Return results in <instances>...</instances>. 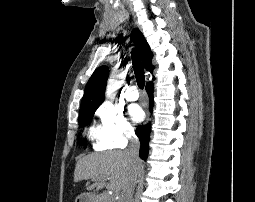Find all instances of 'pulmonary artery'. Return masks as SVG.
I'll use <instances>...</instances> for the list:
<instances>
[{
    "label": "pulmonary artery",
    "mask_w": 255,
    "mask_h": 202,
    "mask_svg": "<svg viewBox=\"0 0 255 202\" xmlns=\"http://www.w3.org/2000/svg\"><path fill=\"white\" fill-rule=\"evenodd\" d=\"M126 99L129 101H136L139 97V93L137 87L135 85H131L126 91Z\"/></svg>",
    "instance_id": "obj_1"
}]
</instances>
